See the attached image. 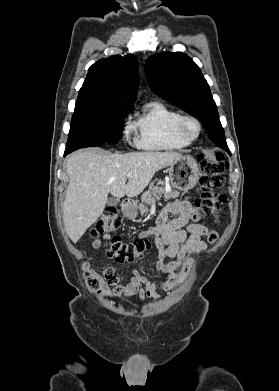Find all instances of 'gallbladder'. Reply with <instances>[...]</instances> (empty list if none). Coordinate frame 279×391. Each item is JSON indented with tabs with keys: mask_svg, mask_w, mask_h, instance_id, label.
Instances as JSON below:
<instances>
[{
	"mask_svg": "<svg viewBox=\"0 0 279 391\" xmlns=\"http://www.w3.org/2000/svg\"><path fill=\"white\" fill-rule=\"evenodd\" d=\"M118 202H119V200H118V199H115V198H109V199L107 200V204H108L109 206H116V205H118Z\"/></svg>",
	"mask_w": 279,
	"mask_h": 391,
	"instance_id": "gallbladder-1",
	"label": "gallbladder"
}]
</instances>
